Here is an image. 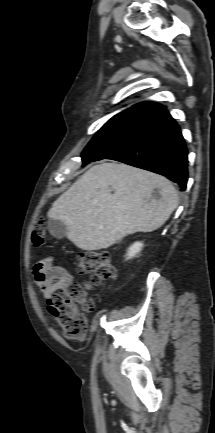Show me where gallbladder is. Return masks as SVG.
Returning <instances> with one entry per match:
<instances>
[{
	"mask_svg": "<svg viewBox=\"0 0 215 433\" xmlns=\"http://www.w3.org/2000/svg\"><path fill=\"white\" fill-rule=\"evenodd\" d=\"M48 230L50 234L57 239H62L67 234V228L65 224L62 221L56 219L48 220Z\"/></svg>",
	"mask_w": 215,
	"mask_h": 433,
	"instance_id": "gallbladder-1",
	"label": "gallbladder"
}]
</instances>
